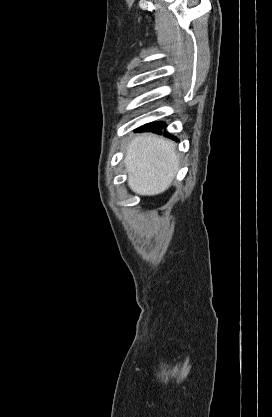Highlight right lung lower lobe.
Here are the masks:
<instances>
[{
    "label": "right lung lower lobe",
    "instance_id": "obj_1",
    "mask_svg": "<svg viewBox=\"0 0 272 417\" xmlns=\"http://www.w3.org/2000/svg\"><path fill=\"white\" fill-rule=\"evenodd\" d=\"M163 128H166V125L164 123H162V122H152V123H149V124H146L144 126L139 127L136 131L137 132L148 131V132H156L158 134H161ZM164 135L168 136L169 138H172L174 140H177L176 137L171 136L167 132H164Z\"/></svg>",
    "mask_w": 272,
    "mask_h": 417
}]
</instances>
